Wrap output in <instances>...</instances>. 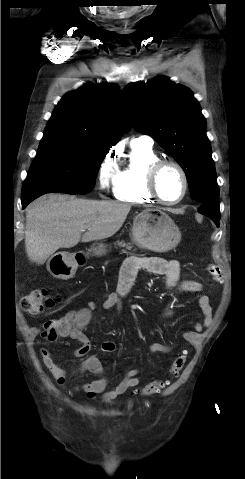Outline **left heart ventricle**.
I'll use <instances>...</instances> for the list:
<instances>
[{"label":"left heart ventricle","mask_w":245,"mask_h":479,"mask_svg":"<svg viewBox=\"0 0 245 479\" xmlns=\"http://www.w3.org/2000/svg\"><path fill=\"white\" fill-rule=\"evenodd\" d=\"M158 189L161 196L167 201L177 200L183 191V183L178 171L173 167H166L160 174Z\"/></svg>","instance_id":"1"}]
</instances>
